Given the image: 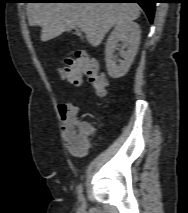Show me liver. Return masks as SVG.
I'll return each instance as SVG.
<instances>
[{
    "mask_svg": "<svg viewBox=\"0 0 188 213\" xmlns=\"http://www.w3.org/2000/svg\"><path fill=\"white\" fill-rule=\"evenodd\" d=\"M27 16L30 26L42 28V42L79 28L81 39L83 32L97 47L113 26L137 19L140 8L131 3H31Z\"/></svg>",
    "mask_w": 188,
    "mask_h": 213,
    "instance_id": "6515ba94",
    "label": "liver"
}]
</instances>
